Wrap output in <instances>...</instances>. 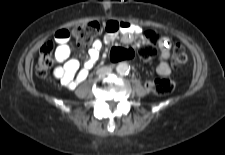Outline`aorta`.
<instances>
[{"mask_svg":"<svg viewBox=\"0 0 225 155\" xmlns=\"http://www.w3.org/2000/svg\"><path fill=\"white\" fill-rule=\"evenodd\" d=\"M130 67L127 63L121 62L117 65L116 71L120 75H126L129 73Z\"/></svg>","mask_w":225,"mask_h":155,"instance_id":"obj_1","label":"aorta"}]
</instances>
